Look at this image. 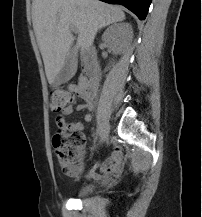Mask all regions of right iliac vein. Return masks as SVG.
Here are the masks:
<instances>
[{
	"label": "right iliac vein",
	"instance_id": "right-iliac-vein-1",
	"mask_svg": "<svg viewBox=\"0 0 202 217\" xmlns=\"http://www.w3.org/2000/svg\"><path fill=\"white\" fill-rule=\"evenodd\" d=\"M109 125L107 123H103L101 133H100V141L104 142L109 135Z\"/></svg>",
	"mask_w": 202,
	"mask_h": 217
}]
</instances>
